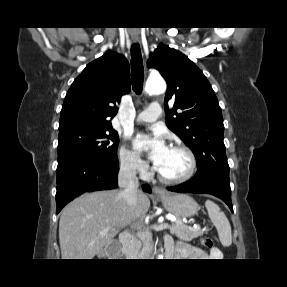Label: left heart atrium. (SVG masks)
Here are the masks:
<instances>
[{"mask_svg":"<svg viewBox=\"0 0 287 287\" xmlns=\"http://www.w3.org/2000/svg\"><path fill=\"white\" fill-rule=\"evenodd\" d=\"M133 144L137 151L148 152V157L156 168L161 164L163 157L169 148L158 133L152 135L139 134L134 139Z\"/></svg>","mask_w":287,"mask_h":287,"instance_id":"39dd6f15","label":"left heart atrium"}]
</instances>
